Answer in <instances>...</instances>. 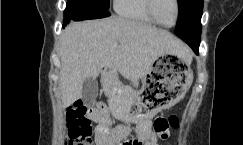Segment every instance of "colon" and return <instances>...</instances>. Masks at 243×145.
<instances>
[{
  "mask_svg": "<svg viewBox=\"0 0 243 145\" xmlns=\"http://www.w3.org/2000/svg\"><path fill=\"white\" fill-rule=\"evenodd\" d=\"M94 109L87 107L81 101H76L67 110V124L69 134V145H92L93 135L106 136L109 133V123L104 120L93 125ZM179 126L177 116L169 118L157 117L154 120L153 128L156 133L166 137L169 133V128L176 129Z\"/></svg>",
  "mask_w": 243,
  "mask_h": 145,
  "instance_id": "obj_1",
  "label": "colon"
}]
</instances>
